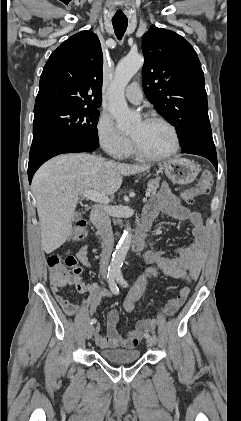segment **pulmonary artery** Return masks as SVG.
I'll list each match as a JSON object with an SVG mask.
<instances>
[{
  "label": "pulmonary artery",
  "mask_w": 241,
  "mask_h": 421,
  "mask_svg": "<svg viewBox=\"0 0 241 421\" xmlns=\"http://www.w3.org/2000/svg\"><path fill=\"white\" fill-rule=\"evenodd\" d=\"M125 96L131 103L139 104L143 99L139 84L137 82L131 83L125 91Z\"/></svg>",
  "instance_id": "1"
}]
</instances>
